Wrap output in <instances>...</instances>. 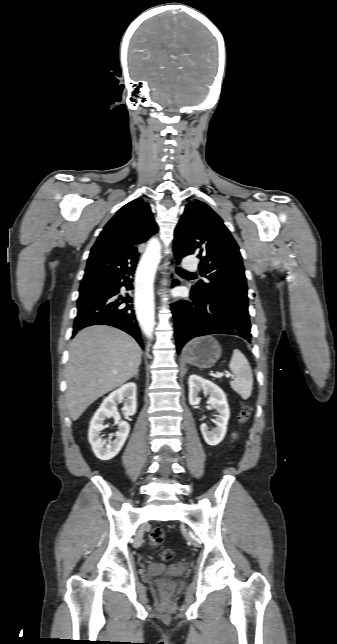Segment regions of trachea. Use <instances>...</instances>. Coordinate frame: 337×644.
<instances>
[{
    "mask_svg": "<svg viewBox=\"0 0 337 644\" xmlns=\"http://www.w3.org/2000/svg\"><path fill=\"white\" fill-rule=\"evenodd\" d=\"M177 271H178V272H181V273H185V274L193 275L192 273L187 272V271H185V270H183V269H181V268H177Z\"/></svg>",
    "mask_w": 337,
    "mask_h": 644,
    "instance_id": "obj_1",
    "label": "trachea"
}]
</instances>
